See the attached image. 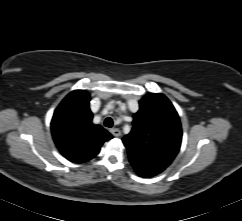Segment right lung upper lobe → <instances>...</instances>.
I'll return each instance as SVG.
<instances>
[{
    "label": "right lung upper lobe",
    "mask_w": 242,
    "mask_h": 221,
    "mask_svg": "<svg viewBox=\"0 0 242 221\" xmlns=\"http://www.w3.org/2000/svg\"><path fill=\"white\" fill-rule=\"evenodd\" d=\"M90 96L85 90L69 93L56 108L51 130L61 154L74 163H83L95 157L112 135L100 125L92 123Z\"/></svg>",
    "instance_id": "cb5924a9"
}]
</instances>
